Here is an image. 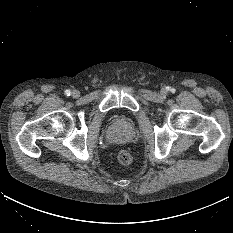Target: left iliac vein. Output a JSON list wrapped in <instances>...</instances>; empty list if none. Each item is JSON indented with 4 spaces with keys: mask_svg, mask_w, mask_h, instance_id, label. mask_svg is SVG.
Here are the masks:
<instances>
[{
    "mask_svg": "<svg viewBox=\"0 0 233 233\" xmlns=\"http://www.w3.org/2000/svg\"><path fill=\"white\" fill-rule=\"evenodd\" d=\"M161 94H162V95H165V94H166V91L163 89V90L161 91Z\"/></svg>",
    "mask_w": 233,
    "mask_h": 233,
    "instance_id": "1",
    "label": "left iliac vein"
}]
</instances>
